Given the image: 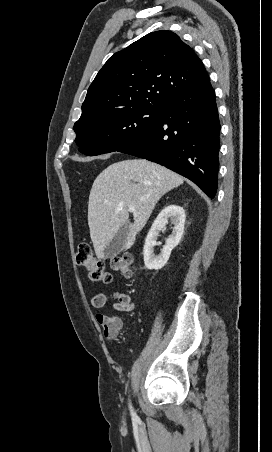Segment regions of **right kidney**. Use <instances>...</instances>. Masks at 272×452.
<instances>
[{"instance_id":"obj_1","label":"right kidney","mask_w":272,"mask_h":452,"mask_svg":"<svg viewBox=\"0 0 272 452\" xmlns=\"http://www.w3.org/2000/svg\"><path fill=\"white\" fill-rule=\"evenodd\" d=\"M185 218L184 209L178 205H169L159 213L148 232L143 249L144 263L148 269L159 270L165 266L171 251L179 244L183 236ZM168 220L174 225L172 234L166 239V244L161 253L155 255L154 247L157 244V236L159 231L166 227Z\"/></svg>"}]
</instances>
